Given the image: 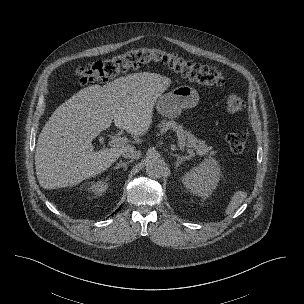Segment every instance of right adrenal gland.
<instances>
[{"label":"right adrenal gland","mask_w":304,"mask_h":304,"mask_svg":"<svg viewBox=\"0 0 304 304\" xmlns=\"http://www.w3.org/2000/svg\"><path fill=\"white\" fill-rule=\"evenodd\" d=\"M131 162H132V160L127 161V162H123L122 160H120V162L114 167V169H119L120 167H123L124 170H126L127 169V165L129 163H131Z\"/></svg>","instance_id":"2a0ac1e0"}]
</instances>
